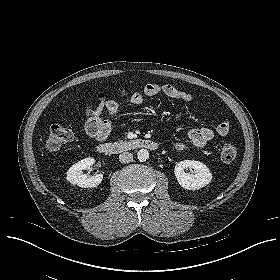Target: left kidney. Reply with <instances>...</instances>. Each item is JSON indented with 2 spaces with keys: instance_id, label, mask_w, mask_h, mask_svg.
Masks as SVG:
<instances>
[{
  "instance_id": "1",
  "label": "left kidney",
  "mask_w": 280,
  "mask_h": 280,
  "mask_svg": "<svg viewBox=\"0 0 280 280\" xmlns=\"http://www.w3.org/2000/svg\"><path fill=\"white\" fill-rule=\"evenodd\" d=\"M192 168L193 171L185 172V169ZM178 183L187 190H198L208 185L212 180L209 168L200 161L184 160L178 162L174 169Z\"/></svg>"
}]
</instances>
